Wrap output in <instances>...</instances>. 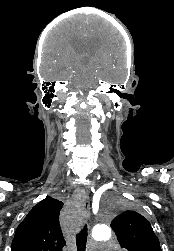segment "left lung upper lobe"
I'll list each match as a JSON object with an SVG mask.
<instances>
[{
	"label": "left lung upper lobe",
	"instance_id": "1",
	"mask_svg": "<svg viewBox=\"0 0 174 251\" xmlns=\"http://www.w3.org/2000/svg\"><path fill=\"white\" fill-rule=\"evenodd\" d=\"M111 227L128 251H162L151 224L137 212H124L113 220Z\"/></svg>",
	"mask_w": 174,
	"mask_h": 251
}]
</instances>
